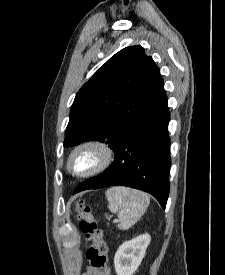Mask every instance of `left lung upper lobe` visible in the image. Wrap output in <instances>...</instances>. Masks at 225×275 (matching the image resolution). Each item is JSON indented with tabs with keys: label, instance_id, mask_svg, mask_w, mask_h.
<instances>
[{
	"label": "left lung upper lobe",
	"instance_id": "1",
	"mask_svg": "<svg viewBox=\"0 0 225 275\" xmlns=\"http://www.w3.org/2000/svg\"><path fill=\"white\" fill-rule=\"evenodd\" d=\"M163 89L159 68L140 45L122 49L77 93L64 147L98 140L114 150L128 128Z\"/></svg>",
	"mask_w": 225,
	"mask_h": 275
}]
</instances>
